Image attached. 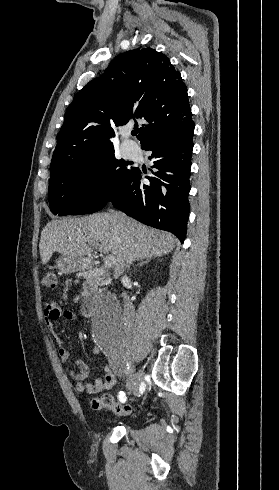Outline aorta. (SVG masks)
Here are the masks:
<instances>
[{
	"instance_id": "aorta-1",
	"label": "aorta",
	"mask_w": 279,
	"mask_h": 490,
	"mask_svg": "<svg viewBox=\"0 0 279 490\" xmlns=\"http://www.w3.org/2000/svg\"><path fill=\"white\" fill-rule=\"evenodd\" d=\"M124 310L117 299L104 294L94 305L92 331L95 340L105 349H112L126 338Z\"/></svg>"
}]
</instances>
